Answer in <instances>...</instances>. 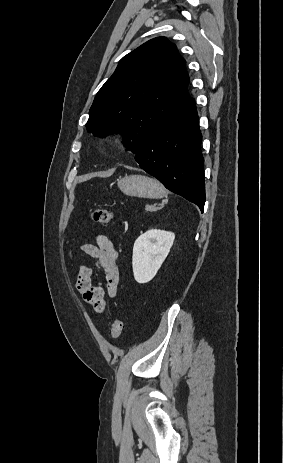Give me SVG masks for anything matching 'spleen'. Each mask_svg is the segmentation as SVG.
Wrapping results in <instances>:
<instances>
[{
  "mask_svg": "<svg viewBox=\"0 0 283 463\" xmlns=\"http://www.w3.org/2000/svg\"><path fill=\"white\" fill-rule=\"evenodd\" d=\"M163 196H167V191H166V190H165V192H164V195H163Z\"/></svg>",
  "mask_w": 283,
  "mask_h": 463,
  "instance_id": "spleen-1",
  "label": "spleen"
}]
</instances>
